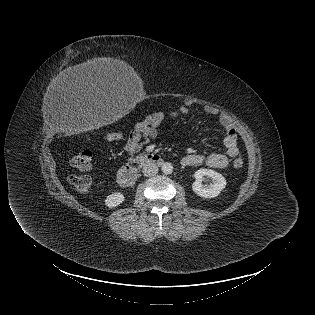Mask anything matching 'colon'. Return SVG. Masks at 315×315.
<instances>
[{
	"instance_id": "1",
	"label": "colon",
	"mask_w": 315,
	"mask_h": 315,
	"mask_svg": "<svg viewBox=\"0 0 315 315\" xmlns=\"http://www.w3.org/2000/svg\"><path fill=\"white\" fill-rule=\"evenodd\" d=\"M122 138L120 132H113L107 136L109 141H117ZM92 152L89 150L80 151L75 154L71 159V165L80 171H86L91 167L92 163ZM243 159L236 158L233 161V166L235 168H240L243 166ZM70 184L81 193H88L91 189L92 180L88 175L85 174H74L69 177Z\"/></svg>"
}]
</instances>
